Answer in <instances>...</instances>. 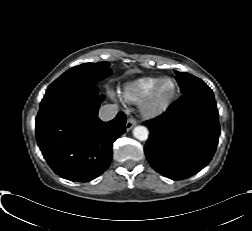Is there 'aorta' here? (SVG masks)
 Here are the masks:
<instances>
[{"label": "aorta", "mask_w": 252, "mask_h": 231, "mask_svg": "<svg viewBox=\"0 0 252 231\" xmlns=\"http://www.w3.org/2000/svg\"><path fill=\"white\" fill-rule=\"evenodd\" d=\"M133 135L136 139H138L140 141H146L149 136V131L144 126H136L133 129Z\"/></svg>", "instance_id": "762f6f07"}]
</instances>
